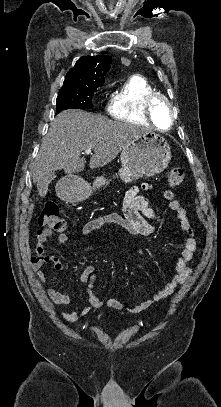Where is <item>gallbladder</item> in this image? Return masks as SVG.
<instances>
[{
	"label": "gallbladder",
	"instance_id": "obj_1",
	"mask_svg": "<svg viewBox=\"0 0 221 407\" xmlns=\"http://www.w3.org/2000/svg\"><path fill=\"white\" fill-rule=\"evenodd\" d=\"M55 173L51 172L46 175H44L41 180L38 181L37 187L38 191L41 193H44L48 187V184L55 178Z\"/></svg>",
	"mask_w": 221,
	"mask_h": 407
}]
</instances>
